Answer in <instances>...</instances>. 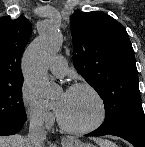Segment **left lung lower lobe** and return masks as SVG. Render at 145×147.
Here are the masks:
<instances>
[{
    "mask_svg": "<svg viewBox=\"0 0 145 147\" xmlns=\"http://www.w3.org/2000/svg\"><path fill=\"white\" fill-rule=\"evenodd\" d=\"M119 136L129 141L134 147H145V125H136L115 129L113 131H104L97 129L86 136H103V135Z\"/></svg>",
    "mask_w": 145,
    "mask_h": 147,
    "instance_id": "0a47b994",
    "label": "left lung lower lobe"
}]
</instances>
